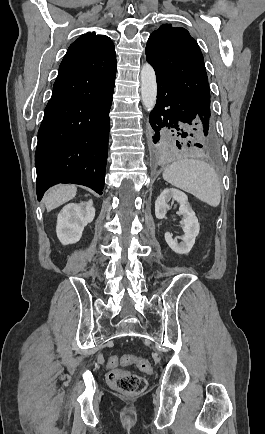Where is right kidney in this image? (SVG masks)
Returning a JSON list of instances; mask_svg holds the SVG:
<instances>
[{
  "instance_id": "ca27d5eb",
  "label": "right kidney",
  "mask_w": 265,
  "mask_h": 434,
  "mask_svg": "<svg viewBox=\"0 0 265 434\" xmlns=\"http://www.w3.org/2000/svg\"><path fill=\"white\" fill-rule=\"evenodd\" d=\"M95 218L92 200L81 204H67L57 218L56 234L63 246L79 242L82 232Z\"/></svg>"
}]
</instances>
